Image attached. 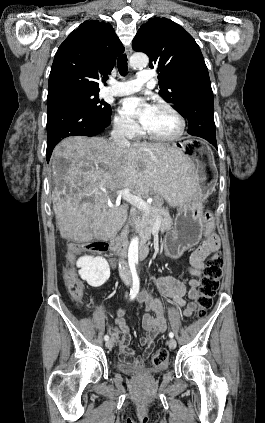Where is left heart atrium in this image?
Wrapping results in <instances>:
<instances>
[{"mask_svg":"<svg viewBox=\"0 0 265 423\" xmlns=\"http://www.w3.org/2000/svg\"><path fill=\"white\" fill-rule=\"evenodd\" d=\"M153 107L145 99L132 96L122 100L120 110L126 117L133 118L144 125L149 119Z\"/></svg>","mask_w":265,"mask_h":423,"instance_id":"left-heart-atrium-1","label":"left heart atrium"}]
</instances>
